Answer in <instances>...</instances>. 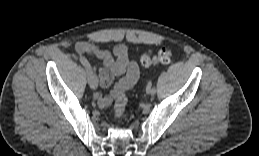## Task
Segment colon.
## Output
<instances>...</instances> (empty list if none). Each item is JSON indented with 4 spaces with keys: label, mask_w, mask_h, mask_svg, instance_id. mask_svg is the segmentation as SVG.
Segmentation results:
<instances>
[{
    "label": "colon",
    "mask_w": 259,
    "mask_h": 156,
    "mask_svg": "<svg viewBox=\"0 0 259 156\" xmlns=\"http://www.w3.org/2000/svg\"><path fill=\"white\" fill-rule=\"evenodd\" d=\"M172 56V51L168 48H162L159 50L157 55L152 54L150 51L145 52L141 56V64L144 67H149L152 65H155L157 63H167ZM127 104V97H126V91L120 90L116 95V101L114 105V117L115 119H120L126 108Z\"/></svg>",
    "instance_id": "obj_1"
}]
</instances>
